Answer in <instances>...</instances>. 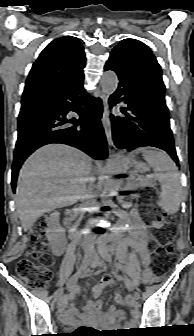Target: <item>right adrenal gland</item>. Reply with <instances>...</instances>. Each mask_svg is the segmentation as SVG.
Returning a JSON list of instances; mask_svg holds the SVG:
<instances>
[{
	"instance_id": "2a0ac1e0",
	"label": "right adrenal gland",
	"mask_w": 194,
	"mask_h": 336,
	"mask_svg": "<svg viewBox=\"0 0 194 336\" xmlns=\"http://www.w3.org/2000/svg\"><path fill=\"white\" fill-rule=\"evenodd\" d=\"M90 187L91 188L93 187V181H90Z\"/></svg>"
}]
</instances>
